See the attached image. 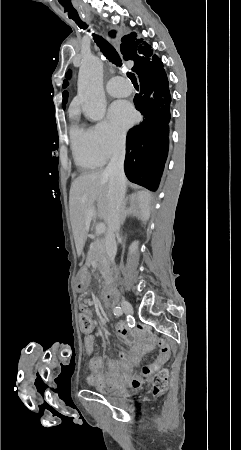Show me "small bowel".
<instances>
[{
    "label": "small bowel",
    "instance_id": "c3829d8e",
    "mask_svg": "<svg viewBox=\"0 0 241 450\" xmlns=\"http://www.w3.org/2000/svg\"><path fill=\"white\" fill-rule=\"evenodd\" d=\"M84 288L85 284L79 283L78 289L82 291ZM84 312L92 316V312L86 306L82 307V314ZM116 332L126 346V348L120 349L119 361H114L107 357L93 356L95 344L93 332L83 333L84 348L90 356L88 363L90 381L99 389H111L121 384H127L130 388L138 389L148 376L160 369L167 362L170 356L169 348L165 341L161 339L155 341L145 337L142 325L131 329L126 324L120 322L116 325ZM155 344L160 350L159 356L154 362L143 367L140 373L135 374L134 368L139 362L142 353Z\"/></svg>",
    "mask_w": 241,
    "mask_h": 450
}]
</instances>
